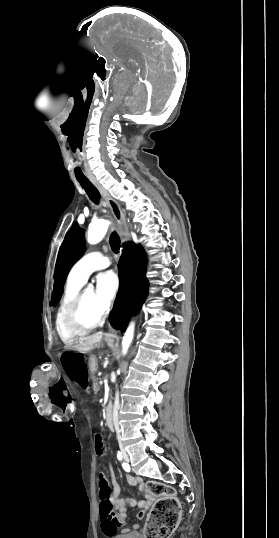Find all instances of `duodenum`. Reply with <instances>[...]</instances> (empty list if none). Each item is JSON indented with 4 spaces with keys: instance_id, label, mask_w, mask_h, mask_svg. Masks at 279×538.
Segmentation results:
<instances>
[{
    "instance_id": "obj_1",
    "label": "duodenum",
    "mask_w": 279,
    "mask_h": 538,
    "mask_svg": "<svg viewBox=\"0 0 279 538\" xmlns=\"http://www.w3.org/2000/svg\"><path fill=\"white\" fill-rule=\"evenodd\" d=\"M91 369H92V373H97L98 366L96 364H93L91 366ZM109 402H112V399H109ZM105 408H106V410H105V413H106L105 414V417H106L105 422L107 423V427L109 429H112L114 427V424L112 423V419H111L113 417L112 410H111L113 408V405L111 403H107L105 405Z\"/></svg>"
}]
</instances>
